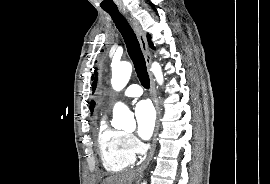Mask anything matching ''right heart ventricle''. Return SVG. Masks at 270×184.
<instances>
[{"label": "right heart ventricle", "instance_id": "right-heart-ventricle-1", "mask_svg": "<svg viewBox=\"0 0 270 184\" xmlns=\"http://www.w3.org/2000/svg\"><path fill=\"white\" fill-rule=\"evenodd\" d=\"M97 142L103 166L107 171L119 172L135 161V151L129 146L127 134L112 128L103 116L99 122Z\"/></svg>", "mask_w": 270, "mask_h": 184}]
</instances>
